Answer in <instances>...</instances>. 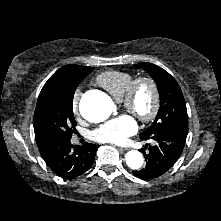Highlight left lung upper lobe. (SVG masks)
I'll use <instances>...</instances> for the list:
<instances>
[{"mask_svg":"<svg viewBox=\"0 0 221 221\" xmlns=\"http://www.w3.org/2000/svg\"><path fill=\"white\" fill-rule=\"evenodd\" d=\"M135 66L143 68L152 76L160 95V108L156 119L140 136H149L178 125H188L186 103L177 81L157 65L143 62Z\"/></svg>","mask_w":221,"mask_h":221,"instance_id":"1","label":"left lung upper lobe"}]
</instances>
